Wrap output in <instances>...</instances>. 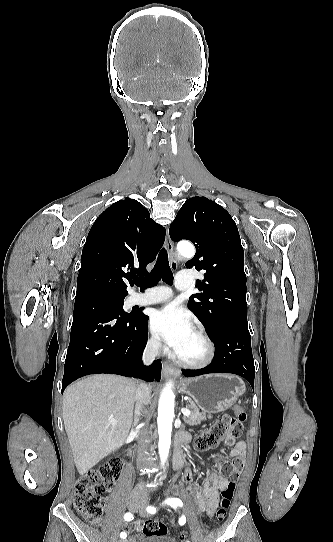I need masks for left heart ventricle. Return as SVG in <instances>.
Listing matches in <instances>:
<instances>
[{"instance_id": "1", "label": "left heart ventricle", "mask_w": 333, "mask_h": 542, "mask_svg": "<svg viewBox=\"0 0 333 542\" xmlns=\"http://www.w3.org/2000/svg\"><path fill=\"white\" fill-rule=\"evenodd\" d=\"M172 354L183 360L196 361L204 357L205 346L196 332L193 331L183 340L177 350Z\"/></svg>"}]
</instances>
